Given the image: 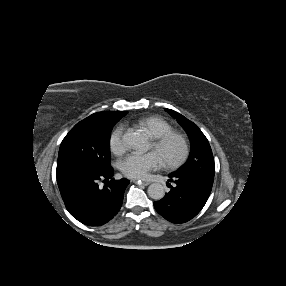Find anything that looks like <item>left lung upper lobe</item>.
Wrapping results in <instances>:
<instances>
[{"mask_svg": "<svg viewBox=\"0 0 286 286\" xmlns=\"http://www.w3.org/2000/svg\"><path fill=\"white\" fill-rule=\"evenodd\" d=\"M187 132L191 142L188 161L176 172H214L215 164L211 147L202 131L183 115L171 109H165Z\"/></svg>", "mask_w": 286, "mask_h": 286, "instance_id": "1", "label": "left lung upper lobe"}]
</instances>
